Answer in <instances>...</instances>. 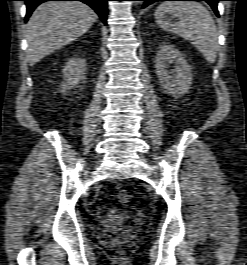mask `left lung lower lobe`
I'll return each mask as SVG.
<instances>
[{
  "mask_svg": "<svg viewBox=\"0 0 247 265\" xmlns=\"http://www.w3.org/2000/svg\"><path fill=\"white\" fill-rule=\"evenodd\" d=\"M138 1H144V4H143V8L147 7L148 5L154 3V2H157V1H169V0H138ZM194 1H205L207 2L211 7L212 9L214 10L215 14L217 16H219V12L217 10V3L219 1H223V0H194Z\"/></svg>",
  "mask_w": 247,
  "mask_h": 265,
  "instance_id": "obj_1",
  "label": "left lung lower lobe"
}]
</instances>
